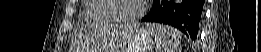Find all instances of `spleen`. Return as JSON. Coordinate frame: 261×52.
<instances>
[{
  "instance_id": "spleen-1",
  "label": "spleen",
  "mask_w": 261,
  "mask_h": 52,
  "mask_svg": "<svg viewBox=\"0 0 261 52\" xmlns=\"http://www.w3.org/2000/svg\"><path fill=\"white\" fill-rule=\"evenodd\" d=\"M148 30L155 39L156 52H177L181 39L179 32L159 24L149 25Z\"/></svg>"
}]
</instances>
